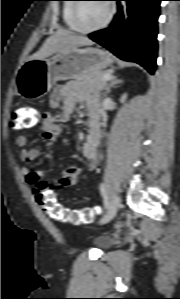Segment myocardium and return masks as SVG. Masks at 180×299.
<instances>
[{
    "mask_svg": "<svg viewBox=\"0 0 180 299\" xmlns=\"http://www.w3.org/2000/svg\"><path fill=\"white\" fill-rule=\"evenodd\" d=\"M76 2L73 4L72 7V13H71V20L72 23L76 29V31H78L79 33L82 34H90V33H94V32H98L104 28H106L110 22L112 21L114 14H115V7L114 4L112 2H110V0H106L107 2V15L105 17V19L97 26L95 27H91V28H83L79 25L78 23V10L79 7L81 5V0H75Z\"/></svg>",
    "mask_w": 180,
    "mask_h": 299,
    "instance_id": "obj_1",
    "label": "myocardium"
}]
</instances>
